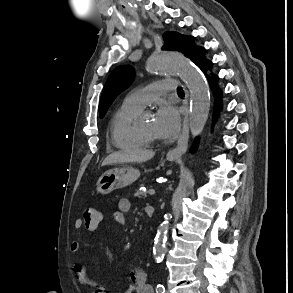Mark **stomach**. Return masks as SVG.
<instances>
[{"instance_id": "obj_1", "label": "stomach", "mask_w": 293, "mask_h": 293, "mask_svg": "<svg viewBox=\"0 0 293 293\" xmlns=\"http://www.w3.org/2000/svg\"><path fill=\"white\" fill-rule=\"evenodd\" d=\"M175 158L168 157L173 161ZM140 176V172L129 166L116 168L103 173L97 181L96 190L103 195L109 194L114 190L127 187L134 183Z\"/></svg>"}]
</instances>
